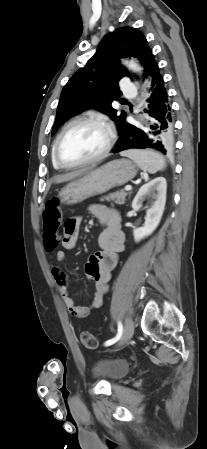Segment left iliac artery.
Wrapping results in <instances>:
<instances>
[{"label":"left iliac artery","mask_w":207,"mask_h":449,"mask_svg":"<svg viewBox=\"0 0 207 449\" xmlns=\"http://www.w3.org/2000/svg\"><path fill=\"white\" fill-rule=\"evenodd\" d=\"M123 333V325L122 323L119 321L118 322V332L116 334V336L108 341L105 342V346H110L113 345L114 343H116L122 336Z\"/></svg>","instance_id":"left-iliac-artery-1"}]
</instances>
